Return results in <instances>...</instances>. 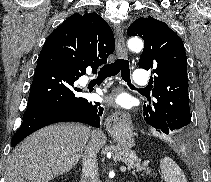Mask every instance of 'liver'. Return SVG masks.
I'll use <instances>...</instances> for the list:
<instances>
[{"mask_svg":"<svg viewBox=\"0 0 211 182\" xmlns=\"http://www.w3.org/2000/svg\"><path fill=\"white\" fill-rule=\"evenodd\" d=\"M90 137L97 152L106 143L102 131L91 133L80 124H58L36 131L12 151L7 182H49L69 172L82 157Z\"/></svg>","mask_w":211,"mask_h":182,"instance_id":"1","label":"liver"}]
</instances>
